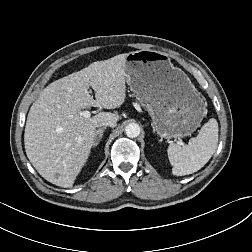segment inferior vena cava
Returning <instances> with one entry per match:
<instances>
[{"mask_svg":"<svg viewBox=\"0 0 252 252\" xmlns=\"http://www.w3.org/2000/svg\"><path fill=\"white\" fill-rule=\"evenodd\" d=\"M117 123L115 121H103L98 124V127L102 126H109V127H116Z\"/></svg>","mask_w":252,"mask_h":252,"instance_id":"inferior-vena-cava-1","label":"inferior vena cava"}]
</instances>
